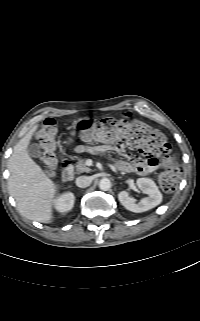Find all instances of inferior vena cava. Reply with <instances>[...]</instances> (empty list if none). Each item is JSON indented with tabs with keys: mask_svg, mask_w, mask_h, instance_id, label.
<instances>
[{
	"mask_svg": "<svg viewBox=\"0 0 200 321\" xmlns=\"http://www.w3.org/2000/svg\"><path fill=\"white\" fill-rule=\"evenodd\" d=\"M92 180L89 176H79L76 178V185L80 188H86L91 184Z\"/></svg>",
	"mask_w": 200,
	"mask_h": 321,
	"instance_id": "inferior-vena-cava-1",
	"label": "inferior vena cava"
}]
</instances>
